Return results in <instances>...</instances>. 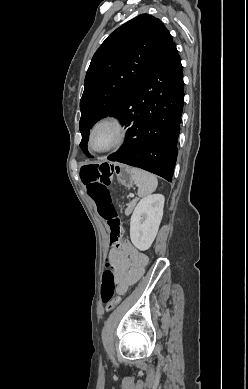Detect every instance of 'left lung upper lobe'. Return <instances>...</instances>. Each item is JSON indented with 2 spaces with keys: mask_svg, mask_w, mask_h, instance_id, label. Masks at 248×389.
I'll return each instance as SVG.
<instances>
[{
  "mask_svg": "<svg viewBox=\"0 0 248 389\" xmlns=\"http://www.w3.org/2000/svg\"><path fill=\"white\" fill-rule=\"evenodd\" d=\"M173 44L172 36L158 18L142 14L117 28L98 48L86 73L80 101V147L88 157L91 127L103 117L118 114Z\"/></svg>",
  "mask_w": 248,
  "mask_h": 389,
  "instance_id": "1",
  "label": "left lung upper lobe"
}]
</instances>
